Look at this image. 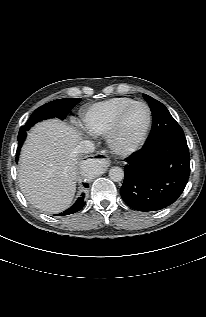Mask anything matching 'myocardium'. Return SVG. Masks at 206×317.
<instances>
[{"instance_id": "obj_1", "label": "myocardium", "mask_w": 206, "mask_h": 317, "mask_svg": "<svg viewBox=\"0 0 206 317\" xmlns=\"http://www.w3.org/2000/svg\"><path fill=\"white\" fill-rule=\"evenodd\" d=\"M143 105L147 110V123L146 126L140 135V137L137 139V141L130 145H124L121 144L118 141V133L120 131V128L122 126L123 120L127 112L135 105ZM152 124V112L149 107V105L146 102L143 101H133L132 103L125 106L116 116L111 128L106 134V140L108 143L109 148L118 155H129L140 149L149 134L150 128Z\"/></svg>"}]
</instances>
